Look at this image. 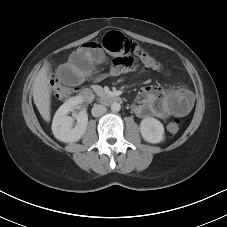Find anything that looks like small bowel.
<instances>
[{"instance_id":"small-bowel-1","label":"small bowel","mask_w":227,"mask_h":227,"mask_svg":"<svg viewBox=\"0 0 227 227\" xmlns=\"http://www.w3.org/2000/svg\"><path fill=\"white\" fill-rule=\"evenodd\" d=\"M102 45L97 41L83 43L71 56L69 64L61 65L57 70V78L64 86L83 87L89 81V73L96 64L105 60ZM136 64L133 57H116L112 60L111 74L121 75L130 71ZM102 76L95 80L99 81ZM193 106L192 94L182 86H173L165 92L162 88L150 85L142 88L133 106L135 114L140 118H168L184 116Z\"/></svg>"}]
</instances>
